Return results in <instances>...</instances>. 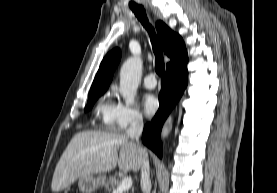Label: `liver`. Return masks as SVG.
<instances>
[{
	"mask_svg": "<svg viewBox=\"0 0 277 193\" xmlns=\"http://www.w3.org/2000/svg\"><path fill=\"white\" fill-rule=\"evenodd\" d=\"M142 158L139 146L126 135L102 131L79 132L56 165L51 189L53 192L62 191L78 178L110 171L117 163L120 170L136 172L141 167Z\"/></svg>",
	"mask_w": 277,
	"mask_h": 193,
	"instance_id": "obj_1",
	"label": "liver"
}]
</instances>
